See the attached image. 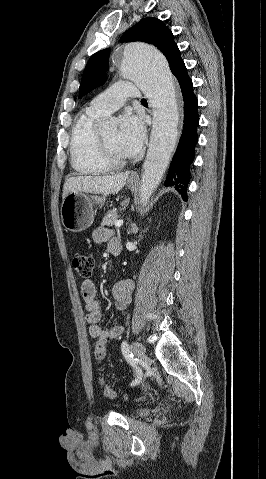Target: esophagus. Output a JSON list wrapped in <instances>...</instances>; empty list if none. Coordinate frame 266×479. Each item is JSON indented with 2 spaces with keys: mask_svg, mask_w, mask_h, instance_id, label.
I'll return each instance as SVG.
<instances>
[{
  "mask_svg": "<svg viewBox=\"0 0 266 479\" xmlns=\"http://www.w3.org/2000/svg\"><path fill=\"white\" fill-rule=\"evenodd\" d=\"M130 178L131 179H137V175L136 174H131Z\"/></svg>",
  "mask_w": 266,
  "mask_h": 479,
  "instance_id": "obj_1",
  "label": "esophagus"
}]
</instances>
